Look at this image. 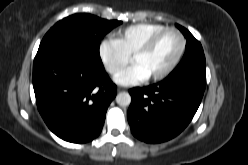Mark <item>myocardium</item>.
<instances>
[{"label": "myocardium", "instance_id": "myocardium-1", "mask_svg": "<svg viewBox=\"0 0 248 165\" xmlns=\"http://www.w3.org/2000/svg\"><path fill=\"white\" fill-rule=\"evenodd\" d=\"M168 32H173L175 33L179 40H180V48L179 51L176 55V57L174 58V60L160 73L149 77L150 81H159L164 79L165 77H167L180 63L185 50H186V39L184 37V35L181 33V31H179L177 28L174 27H165L164 29L152 34L134 53L132 56V60L140 55H143L145 53H147L152 47L153 45L157 42V40L164 35L165 33Z\"/></svg>", "mask_w": 248, "mask_h": 165}]
</instances>
